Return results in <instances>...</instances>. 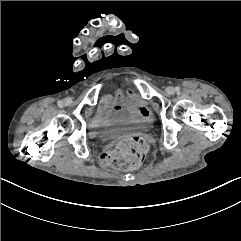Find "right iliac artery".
Returning <instances> with one entry per match:
<instances>
[{
  "instance_id": "82829eb1",
  "label": "right iliac artery",
  "mask_w": 241,
  "mask_h": 241,
  "mask_svg": "<svg viewBox=\"0 0 241 241\" xmlns=\"http://www.w3.org/2000/svg\"><path fill=\"white\" fill-rule=\"evenodd\" d=\"M58 106L60 107V108H62L63 107V102L62 101H58Z\"/></svg>"
}]
</instances>
